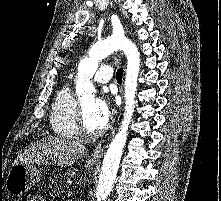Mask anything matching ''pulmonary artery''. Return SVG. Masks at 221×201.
Returning a JSON list of instances; mask_svg holds the SVG:
<instances>
[{
	"mask_svg": "<svg viewBox=\"0 0 221 201\" xmlns=\"http://www.w3.org/2000/svg\"><path fill=\"white\" fill-rule=\"evenodd\" d=\"M113 76V70L109 65H103L99 68V70L94 75L93 79L94 81L98 83H107L111 80Z\"/></svg>",
	"mask_w": 221,
	"mask_h": 201,
	"instance_id": "1",
	"label": "pulmonary artery"
}]
</instances>
